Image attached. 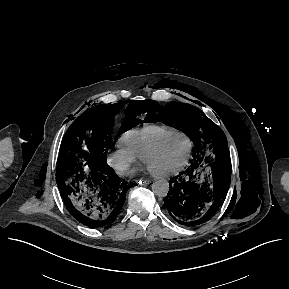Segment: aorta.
Wrapping results in <instances>:
<instances>
[{
  "mask_svg": "<svg viewBox=\"0 0 289 289\" xmlns=\"http://www.w3.org/2000/svg\"><path fill=\"white\" fill-rule=\"evenodd\" d=\"M151 187L153 193L160 197H166L169 191V183L165 179L155 181Z\"/></svg>",
  "mask_w": 289,
  "mask_h": 289,
  "instance_id": "1",
  "label": "aorta"
}]
</instances>
